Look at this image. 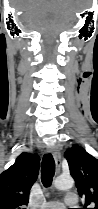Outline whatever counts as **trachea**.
Returning a JSON list of instances; mask_svg holds the SVG:
<instances>
[{"label":"trachea","instance_id":"1","mask_svg":"<svg viewBox=\"0 0 98 209\" xmlns=\"http://www.w3.org/2000/svg\"><path fill=\"white\" fill-rule=\"evenodd\" d=\"M55 174V162L51 154H45L41 163V180L45 187L52 184Z\"/></svg>","mask_w":98,"mask_h":209}]
</instances>
